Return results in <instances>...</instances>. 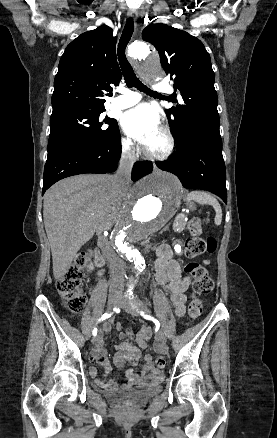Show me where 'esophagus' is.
Here are the masks:
<instances>
[{"label": "esophagus", "instance_id": "1", "mask_svg": "<svg viewBox=\"0 0 277 438\" xmlns=\"http://www.w3.org/2000/svg\"><path fill=\"white\" fill-rule=\"evenodd\" d=\"M128 17L132 18L134 25L136 26L137 19H138V13L136 10H129L128 11Z\"/></svg>", "mask_w": 277, "mask_h": 438}]
</instances>
